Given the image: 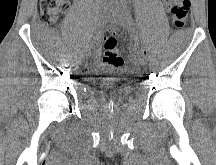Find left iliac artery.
I'll list each match as a JSON object with an SVG mask.
<instances>
[{"instance_id": "obj_1", "label": "left iliac artery", "mask_w": 216, "mask_h": 165, "mask_svg": "<svg viewBox=\"0 0 216 165\" xmlns=\"http://www.w3.org/2000/svg\"><path fill=\"white\" fill-rule=\"evenodd\" d=\"M124 12H125V16H126L128 22H129L130 27L132 28V30H133L134 33L136 34V40H137L138 37H137L136 28H135V23H134V21H133V18H132V16H131L129 10H128L126 7L124 8Z\"/></svg>"}]
</instances>
